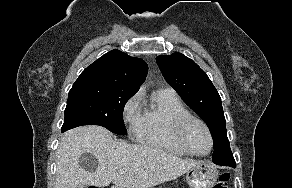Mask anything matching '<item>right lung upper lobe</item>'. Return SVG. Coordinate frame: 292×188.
<instances>
[{
  "instance_id": "right-lung-upper-lobe-1",
  "label": "right lung upper lobe",
  "mask_w": 292,
  "mask_h": 188,
  "mask_svg": "<svg viewBox=\"0 0 292 188\" xmlns=\"http://www.w3.org/2000/svg\"><path fill=\"white\" fill-rule=\"evenodd\" d=\"M148 66L140 58L112 50L88 66L75 83H94L137 92L146 78Z\"/></svg>"
}]
</instances>
